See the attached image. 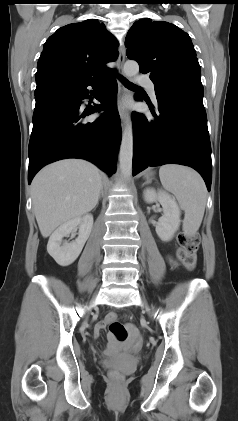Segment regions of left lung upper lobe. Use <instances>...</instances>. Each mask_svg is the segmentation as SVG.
<instances>
[{"instance_id": "left-lung-upper-lobe-1", "label": "left lung upper lobe", "mask_w": 238, "mask_h": 421, "mask_svg": "<svg viewBox=\"0 0 238 421\" xmlns=\"http://www.w3.org/2000/svg\"><path fill=\"white\" fill-rule=\"evenodd\" d=\"M125 46L127 56L149 73L155 87L200 79L201 69L189 35L168 22L145 18L129 30Z\"/></svg>"}]
</instances>
